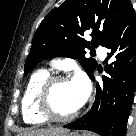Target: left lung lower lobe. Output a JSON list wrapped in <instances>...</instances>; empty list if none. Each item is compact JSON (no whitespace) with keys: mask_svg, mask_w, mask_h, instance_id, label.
I'll return each instance as SVG.
<instances>
[{"mask_svg":"<svg viewBox=\"0 0 136 136\" xmlns=\"http://www.w3.org/2000/svg\"><path fill=\"white\" fill-rule=\"evenodd\" d=\"M107 60L103 85L97 84L91 110L65 128L89 130L101 136H125L128 114L136 91V15L132 8L123 23L106 41ZM90 78L94 80L93 73Z\"/></svg>","mask_w":136,"mask_h":136,"instance_id":"obj_1","label":"left lung lower lobe"}]
</instances>
